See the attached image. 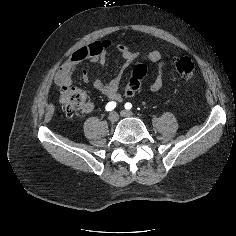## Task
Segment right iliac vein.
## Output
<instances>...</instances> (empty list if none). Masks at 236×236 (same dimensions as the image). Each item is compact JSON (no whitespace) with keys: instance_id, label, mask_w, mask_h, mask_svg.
I'll use <instances>...</instances> for the list:
<instances>
[{"instance_id":"1","label":"right iliac vein","mask_w":236,"mask_h":236,"mask_svg":"<svg viewBox=\"0 0 236 236\" xmlns=\"http://www.w3.org/2000/svg\"><path fill=\"white\" fill-rule=\"evenodd\" d=\"M108 119H109V121H110L111 123H115V122L118 121L119 116H118V114H117L116 112H111V113L109 114Z\"/></svg>"}]
</instances>
